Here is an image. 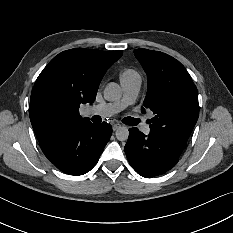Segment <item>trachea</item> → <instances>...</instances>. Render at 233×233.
Segmentation results:
<instances>
[{
  "instance_id": "obj_1",
  "label": "trachea",
  "mask_w": 233,
  "mask_h": 233,
  "mask_svg": "<svg viewBox=\"0 0 233 233\" xmlns=\"http://www.w3.org/2000/svg\"><path fill=\"white\" fill-rule=\"evenodd\" d=\"M127 119L129 121L128 125H137V123L139 122L138 119H134L132 117H127Z\"/></svg>"
}]
</instances>
